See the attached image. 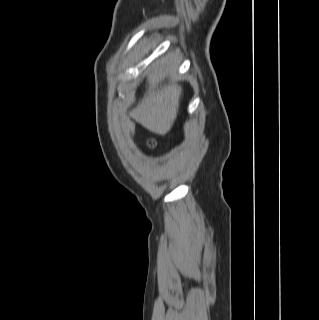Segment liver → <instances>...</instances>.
I'll return each mask as SVG.
<instances>
[{
    "label": "liver",
    "mask_w": 319,
    "mask_h": 320,
    "mask_svg": "<svg viewBox=\"0 0 319 320\" xmlns=\"http://www.w3.org/2000/svg\"><path fill=\"white\" fill-rule=\"evenodd\" d=\"M175 69L164 65L163 70L156 69L147 77V90L131 116L149 131L164 135L170 131L177 117L182 87L175 81L164 83Z\"/></svg>",
    "instance_id": "obj_1"
}]
</instances>
